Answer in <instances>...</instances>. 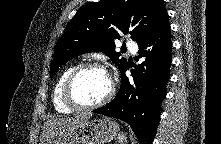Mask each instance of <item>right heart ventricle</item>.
Listing matches in <instances>:
<instances>
[{"mask_svg":"<svg viewBox=\"0 0 221 144\" xmlns=\"http://www.w3.org/2000/svg\"><path fill=\"white\" fill-rule=\"evenodd\" d=\"M74 67H75V65H69L68 67H66L62 71V73L58 77V79L55 83L54 89H53L52 101H53V105H54L55 110L59 113L69 114L74 111L71 108L67 107L62 100L63 83H64L65 79L67 78V76L69 75V73L74 69Z\"/></svg>","mask_w":221,"mask_h":144,"instance_id":"obj_1","label":"right heart ventricle"}]
</instances>
